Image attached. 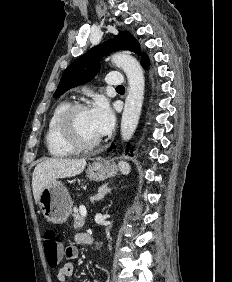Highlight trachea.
Masks as SVG:
<instances>
[{"label":"trachea","mask_w":232,"mask_h":282,"mask_svg":"<svg viewBox=\"0 0 232 282\" xmlns=\"http://www.w3.org/2000/svg\"><path fill=\"white\" fill-rule=\"evenodd\" d=\"M117 89H124V86H118Z\"/></svg>","instance_id":"1"}]
</instances>
